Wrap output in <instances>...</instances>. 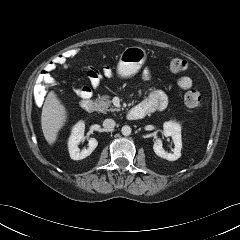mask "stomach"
<instances>
[{
  "mask_svg": "<svg viewBox=\"0 0 240 240\" xmlns=\"http://www.w3.org/2000/svg\"><path fill=\"white\" fill-rule=\"evenodd\" d=\"M146 51L138 46L125 48L120 54L117 73L122 78L135 75L142 65L146 62Z\"/></svg>",
  "mask_w": 240,
  "mask_h": 240,
  "instance_id": "0dacf381",
  "label": "stomach"
}]
</instances>
